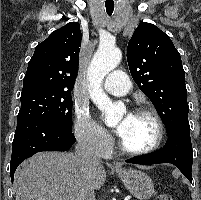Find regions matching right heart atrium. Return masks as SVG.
Returning <instances> with one entry per match:
<instances>
[{"instance_id":"1","label":"right heart atrium","mask_w":201,"mask_h":200,"mask_svg":"<svg viewBox=\"0 0 201 200\" xmlns=\"http://www.w3.org/2000/svg\"><path fill=\"white\" fill-rule=\"evenodd\" d=\"M74 131L78 142L87 150L100 156H106L110 152L112 138L92 119L84 106L76 109Z\"/></svg>"}]
</instances>
